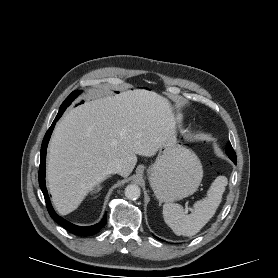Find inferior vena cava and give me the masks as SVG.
I'll return each mask as SVG.
<instances>
[{
	"label": "inferior vena cava",
	"mask_w": 278,
	"mask_h": 278,
	"mask_svg": "<svg viewBox=\"0 0 278 278\" xmlns=\"http://www.w3.org/2000/svg\"><path fill=\"white\" fill-rule=\"evenodd\" d=\"M123 169V164L121 161L119 160H114L111 161L108 165H107V169L106 172L108 174H116V173H120Z\"/></svg>",
	"instance_id": "602c4592"
}]
</instances>
